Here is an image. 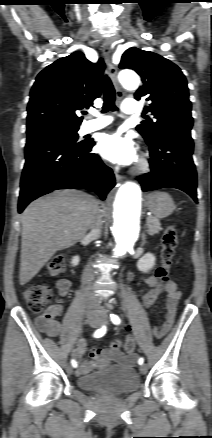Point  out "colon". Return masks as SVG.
<instances>
[{"label": "colon", "instance_id": "1", "mask_svg": "<svg viewBox=\"0 0 212 438\" xmlns=\"http://www.w3.org/2000/svg\"><path fill=\"white\" fill-rule=\"evenodd\" d=\"M177 245V233L174 227L166 229L162 237V264L156 270L155 278L158 285L143 296V305L151 307L159 294L165 289L169 282L170 267L172 264L175 248ZM65 270V258L61 255L53 257L46 268V272L51 277H56ZM24 298L29 309L35 313L41 312L52 296L50 286L46 284H28L23 291ZM125 349L128 353L134 350V340L131 335L126 337Z\"/></svg>", "mask_w": 212, "mask_h": 438}]
</instances>
